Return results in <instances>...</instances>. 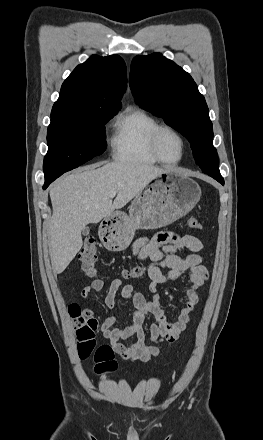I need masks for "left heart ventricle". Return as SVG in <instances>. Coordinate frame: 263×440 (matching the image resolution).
<instances>
[{
    "label": "left heart ventricle",
    "mask_w": 263,
    "mask_h": 440,
    "mask_svg": "<svg viewBox=\"0 0 263 440\" xmlns=\"http://www.w3.org/2000/svg\"><path fill=\"white\" fill-rule=\"evenodd\" d=\"M158 146L161 155L168 161H175L181 155V142L169 131H164L160 135Z\"/></svg>",
    "instance_id": "left-heart-ventricle-1"
}]
</instances>
